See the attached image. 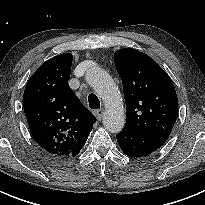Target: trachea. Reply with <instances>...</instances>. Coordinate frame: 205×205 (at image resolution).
<instances>
[{
    "mask_svg": "<svg viewBox=\"0 0 205 205\" xmlns=\"http://www.w3.org/2000/svg\"><path fill=\"white\" fill-rule=\"evenodd\" d=\"M88 101H89L90 108L98 109L100 107V101L95 94H90L88 96Z\"/></svg>",
    "mask_w": 205,
    "mask_h": 205,
    "instance_id": "trachea-1",
    "label": "trachea"
}]
</instances>
